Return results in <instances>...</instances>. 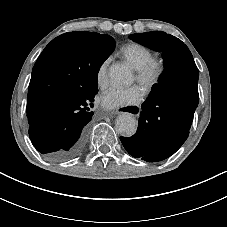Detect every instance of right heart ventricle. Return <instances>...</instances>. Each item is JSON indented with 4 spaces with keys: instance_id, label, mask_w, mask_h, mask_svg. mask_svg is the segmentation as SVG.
Listing matches in <instances>:
<instances>
[{
    "instance_id": "obj_1",
    "label": "right heart ventricle",
    "mask_w": 227,
    "mask_h": 227,
    "mask_svg": "<svg viewBox=\"0 0 227 227\" xmlns=\"http://www.w3.org/2000/svg\"><path fill=\"white\" fill-rule=\"evenodd\" d=\"M121 54L135 70L142 68L152 57V51L138 42H130L120 49Z\"/></svg>"
}]
</instances>
